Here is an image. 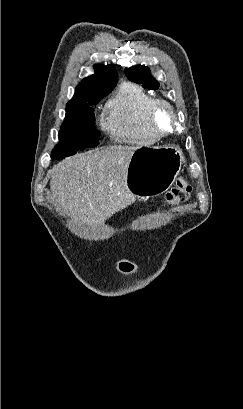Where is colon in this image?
Here are the masks:
<instances>
[{"instance_id": "obj_1", "label": "colon", "mask_w": 243, "mask_h": 409, "mask_svg": "<svg viewBox=\"0 0 243 409\" xmlns=\"http://www.w3.org/2000/svg\"><path fill=\"white\" fill-rule=\"evenodd\" d=\"M191 191V187L185 178H179L175 185L166 193L164 201L167 205L174 206L185 201Z\"/></svg>"}]
</instances>
